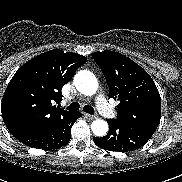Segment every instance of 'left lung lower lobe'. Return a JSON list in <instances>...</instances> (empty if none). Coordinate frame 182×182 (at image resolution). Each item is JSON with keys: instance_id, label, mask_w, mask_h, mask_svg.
Returning a JSON list of instances; mask_svg holds the SVG:
<instances>
[{"instance_id": "1", "label": "left lung lower lobe", "mask_w": 182, "mask_h": 182, "mask_svg": "<svg viewBox=\"0 0 182 182\" xmlns=\"http://www.w3.org/2000/svg\"><path fill=\"white\" fill-rule=\"evenodd\" d=\"M109 132L106 136L94 137V143L100 148L128 152L143 146L154 134L156 129L146 125L108 120Z\"/></svg>"}]
</instances>
